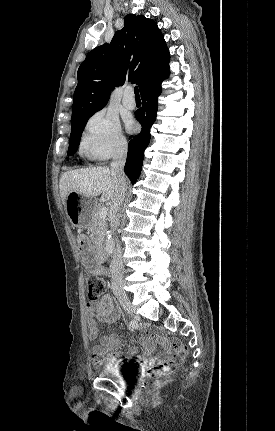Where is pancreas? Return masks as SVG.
Instances as JSON below:
<instances>
[{
    "label": "pancreas",
    "instance_id": "pancreas-1",
    "mask_svg": "<svg viewBox=\"0 0 275 431\" xmlns=\"http://www.w3.org/2000/svg\"><path fill=\"white\" fill-rule=\"evenodd\" d=\"M100 208V206L93 208L87 227L91 232V239L94 244V248H101L106 230V220L104 218H100L98 214Z\"/></svg>",
    "mask_w": 275,
    "mask_h": 431
}]
</instances>
